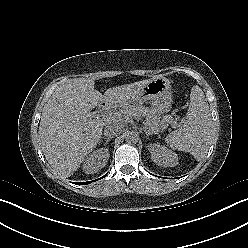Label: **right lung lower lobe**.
<instances>
[{
    "mask_svg": "<svg viewBox=\"0 0 248 248\" xmlns=\"http://www.w3.org/2000/svg\"><path fill=\"white\" fill-rule=\"evenodd\" d=\"M106 175H107V174H105V175H104L103 177H101L100 179L104 178ZM93 181H96V180H93ZM93 181L79 182V183H77V184H79V185H87V184H90V183L93 182Z\"/></svg>",
    "mask_w": 248,
    "mask_h": 248,
    "instance_id": "obj_1",
    "label": "right lung lower lobe"
}]
</instances>
